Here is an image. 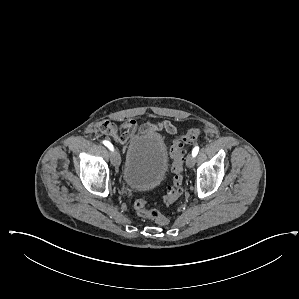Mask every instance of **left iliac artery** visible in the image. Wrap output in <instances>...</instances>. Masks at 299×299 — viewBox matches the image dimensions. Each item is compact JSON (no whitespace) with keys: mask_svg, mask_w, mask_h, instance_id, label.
<instances>
[{"mask_svg":"<svg viewBox=\"0 0 299 299\" xmlns=\"http://www.w3.org/2000/svg\"><path fill=\"white\" fill-rule=\"evenodd\" d=\"M199 152V146H195L192 150V155L193 157H196V155L198 154Z\"/></svg>","mask_w":299,"mask_h":299,"instance_id":"obj_1","label":"left iliac artery"}]
</instances>
